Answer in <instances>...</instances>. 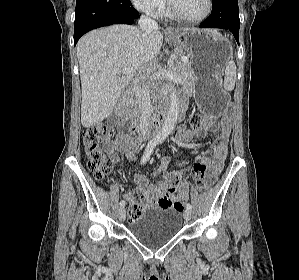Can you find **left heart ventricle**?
Wrapping results in <instances>:
<instances>
[{"label":"left heart ventricle","instance_id":"b2bd125f","mask_svg":"<svg viewBox=\"0 0 299 280\" xmlns=\"http://www.w3.org/2000/svg\"><path fill=\"white\" fill-rule=\"evenodd\" d=\"M174 6L188 18L201 17L207 8L206 0H172Z\"/></svg>","mask_w":299,"mask_h":280}]
</instances>
